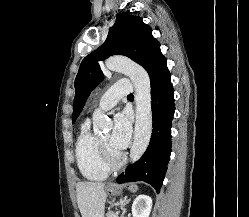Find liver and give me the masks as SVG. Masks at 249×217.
Returning <instances> with one entry per match:
<instances>
[{"label":"liver","mask_w":249,"mask_h":217,"mask_svg":"<svg viewBox=\"0 0 249 217\" xmlns=\"http://www.w3.org/2000/svg\"><path fill=\"white\" fill-rule=\"evenodd\" d=\"M101 182L76 184L77 202L82 217H104L106 192Z\"/></svg>","instance_id":"liver-1"}]
</instances>
